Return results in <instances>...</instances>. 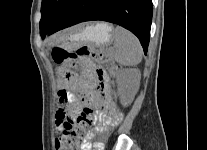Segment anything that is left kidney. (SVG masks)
Instances as JSON below:
<instances>
[{"label":"left kidney","mask_w":207,"mask_h":150,"mask_svg":"<svg viewBox=\"0 0 207 150\" xmlns=\"http://www.w3.org/2000/svg\"><path fill=\"white\" fill-rule=\"evenodd\" d=\"M140 78V71L135 68L124 69L120 72L117 83L120 103L123 106H128L133 101L139 88Z\"/></svg>","instance_id":"left-kidney-1"}]
</instances>
